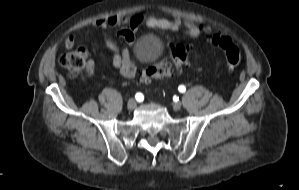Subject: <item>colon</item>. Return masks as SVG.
I'll return each instance as SVG.
<instances>
[{
    "label": "colon",
    "mask_w": 299,
    "mask_h": 190,
    "mask_svg": "<svg viewBox=\"0 0 299 190\" xmlns=\"http://www.w3.org/2000/svg\"><path fill=\"white\" fill-rule=\"evenodd\" d=\"M207 40L224 52L226 65L229 69L240 65L242 61L240 51L229 37L212 34L207 37ZM190 53L191 46L189 44L177 43L172 45L166 57L142 69L139 81L147 84L153 80L171 76L175 71H180L181 67L187 63ZM87 58L88 50L85 47L72 46L67 53L60 57L59 62L71 78H77L85 69Z\"/></svg>",
    "instance_id": "obj_1"
}]
</instances>
